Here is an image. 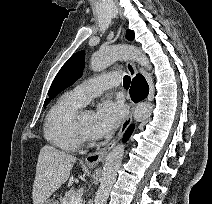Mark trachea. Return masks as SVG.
<instances>
[{
  "instance_id": "trachea-1",
  "label": "trachea",
  "mask_w": 212,
  "mask_h": 204,
  "mask_svg": "<svg viewBox=\"0 0 212 204\" xmlns=\"http://www.w3.org/2000/svg\"><path fill=\"white\" fill-rule=\"evenodd\" d=\"M131 78L128 75H125L123 78V87L128 89L130 87Z\"/></svg>"
}]
</instances>
